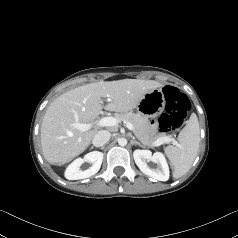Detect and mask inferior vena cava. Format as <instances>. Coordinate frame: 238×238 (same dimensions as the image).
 Listing matches in <instances>:
<instances>
[{
    "label": "inferior vena cava",
    "mask_w": 238,
    "mask_h": 238,
    "mask_svg": "<svg viewBox=\"0 0 238 238\" xmlns=\"http://www.w3.org/2000/svg\"><path fill=\"white\" fill-rule=\"evenodd\" d=\"M110 136H111L110 132L106 130H100L93 137L92 143L96 147H101L109 141Z\"/></svg>",
    "instance_id": "inferior-vena-cava-1"
}]
</instances>
